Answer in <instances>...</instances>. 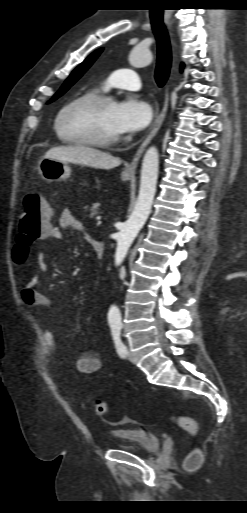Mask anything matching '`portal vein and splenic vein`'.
I'll return each mask as SVG.
<instances>
[{
	"label": "portal vein and splenic vein",
	"mask_w": 247,
	"mask_h": 513,
	"mask_svg": "<svg viewBox=\"0 0 247 513\" xmlns=\"http://www.w3.org/2000/svg\"><path fill=\"white\" fill-rule=\"evenodd\" d=\"M101 220H100V217L97 218V224H101Z\"/></svg>",
	"instance_id": "18ae733b"
}]
</instances>
